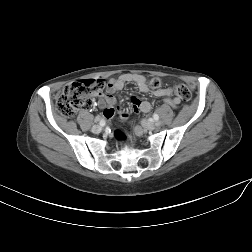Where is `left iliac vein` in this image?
I'll list each match as a JSON object with an SVG mask.
<instances>
[{"label": "left iliac vein", "mask_w": 252, "mask_h": 252, "mask_svg": "<svg viewBox=\"0 0 252 252\" xmlns=\"http://www.w3.org/2000/svg\"><path fill=\"white\" fill-rule=\"evenodd\" d=\"M161 122H157L156 124L150 121H144L143 126L145 129L152 131L155 129L156 126H161Z\"/></svg>", "instance_id": "4c4485c4"}]
</instances>
